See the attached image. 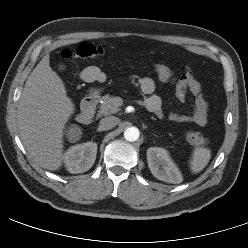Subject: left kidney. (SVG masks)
Returning <instances> with one entry per match:
<instances>
[{
	"label": "left kidney",
	"mask_w": 248,
	"mask_h": 248,
	"mask_svg": "<svg viewBox=\"0 0 248 248\" xmlns=\"http://www.w3.org/2000/svg\"><path fill=\"white\" fill-rule=\"evenodd\" d=\"M148 167L153 176L163 182L179 184L182 175L171 160L167 150L160 147H151L147 150Z\"/></svg>",
	"instance_id": "5707ae66"
}]
</instances>
